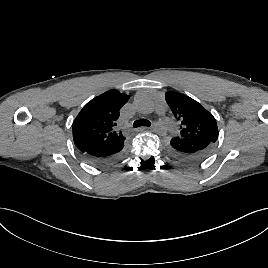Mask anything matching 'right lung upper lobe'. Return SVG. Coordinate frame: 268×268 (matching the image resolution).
<instances>
[{"label": "right lung upper lobe", "instance_id": "right-lung-upper-lobe-1", "mask_svg": "<svg viewBox=\"0 0 268 268\" xmlns=\"http://www.w3.org/2000/svg\"><path fill=\"white\" fill-rule=\"evenodd\" d=\"M129 96L109 90L89 101L73 122V140L80 151L109 148L126 139L116 130L121 107Z\"/></svg>", "mask_w": 268, "mask_h": 268}]
</instances>
